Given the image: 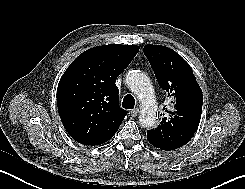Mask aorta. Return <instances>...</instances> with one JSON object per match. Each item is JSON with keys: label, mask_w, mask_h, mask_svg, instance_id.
<instances>
[{"label": "aorta", "mask_w": 245, "mask_h": 189, "mask_svg": "<svg viewBox=\"0 0 245 189\" xmlns=\"http://www.w3.org/2000/svg\"><path fill=\"white\" fill-rule=\"evenodd\" d=\"M126 83L142 104L139 123L144 128H151L157 122L155 94L149 77L140 70L127 73Z\"/></svg>", "instance_id": "aorta-1"}]
</instances>
